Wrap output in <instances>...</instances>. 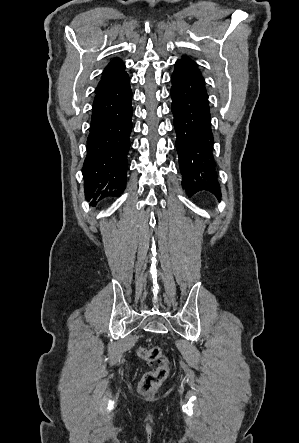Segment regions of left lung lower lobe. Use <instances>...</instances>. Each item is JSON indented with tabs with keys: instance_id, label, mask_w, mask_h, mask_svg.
Returning <instances> with one entry per match:
<instances>
[{
	"instance_id": "obj_1",
	"label": "left lung lower lobe",
	"mask_w": 299,
	"mask_h": 443,
	"mask_svg": "<svg viewBox=\"0 0 299 443\" xmlns=\"http://www.w3.org/2000/svg\"><path fill=\"white\" fill-rule=\"evenodd\" d=\"M171 97L183 187L189 197L199 191H208L220 199V185L211 154L213 136L204 78L184 60L175 64Z\"/></svg>"
}]
</instances>
